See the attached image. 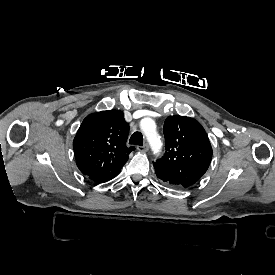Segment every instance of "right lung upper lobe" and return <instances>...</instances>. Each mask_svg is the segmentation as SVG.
<instances>
[{"label":"right lung upper lobe","mask_w":275,"mask_h":275,"mask_svg":"<svg viewBox=\"0 0 275 275\" xmlns=\"http://www.w3.org/2000/svg\"><path fill=\"white\" fill-rule=\"evenodd\" d=\"M129 126L120 110L88 115L73 141L76 164L86 176L120 172L135 148L127 147Z\"/></svg>","instance_id":"right-lung-upper-lobe-1"}]
</instances>
